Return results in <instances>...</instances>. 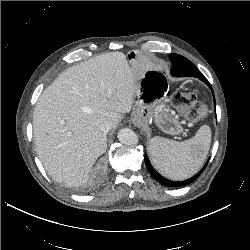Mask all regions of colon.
<instances>
[{
	"label": "colon",
	"mask_w": 250,
	"mask_h": 250,
	"mask_svg": "<svg viewBox=\"0 0 250 250\" xmlns=\"http://www.w3.org/2000/svg\"><path fill=\"white\" fill-rule=\"evenodd\" d=\"M172 103L180 114L191 122L204 118L208 113L207 107L198 101L196 93L192 91L175 93Z\"/></svg>",
	"instance_id": "obj_1"
}]
</instances>
